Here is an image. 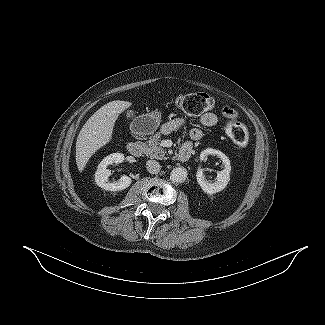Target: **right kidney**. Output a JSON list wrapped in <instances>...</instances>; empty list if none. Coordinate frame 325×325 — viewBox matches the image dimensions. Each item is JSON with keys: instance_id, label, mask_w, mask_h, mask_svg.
Listing matches in <instances>:
<instances>
[{"instance_id": "ca27d5eb", "label": "right kidney", "mask_w": 325, "mask_h": 325, "mask_svg": "<svg viewBox=\"0 0 325 325\" xmlns=\"http://www.w3.org/2000/svg\"><path fill=\"white\" fill-rule=\"evenodd\" d=\"M124 155L121 153H113L105 157L98 165L95 172L96 184L107 191H120L131 185V178L128 176H122L118 181L109 182V176L111 171L107 169V166L113 163L119 164L124 161Z\"/></svg>"}]
</instances>
